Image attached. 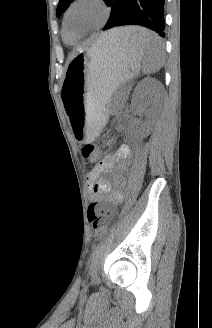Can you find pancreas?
<instances>
[{
	"mask_svg": "<svg viewBox=\"0 0 212 328\" xmlns=\"http://www.w3.org/2000/svg\"><path fill=\"white\" fill-rule=\"evenodd\" d=\"M125 101L124 95L121 94L118 100H116V105H121Z\"/></svg>",
	"mask_w": 212,
	"mask_h": 328,
	"instance_id": "obj_1",
	"label": "pancreas"
}]
</instances>
